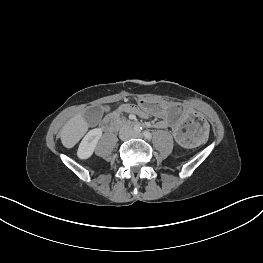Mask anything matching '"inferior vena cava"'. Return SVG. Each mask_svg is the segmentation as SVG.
<instances>
[{
  "label": "inferior vena cava",
  "instance_id": "1",
  "mask_svg": "<svg viewBox=\"0 0 263 263\" xmlns=\"http://www.w3.org/2000/svg\"><path fill=\"white\" fill-rule=\"evenodd\" d=\"M130 132H131V129H130V128H128V127L122 128V129L120 130V137H121V138H125V137H126L125 134H126V133H130Z\"/></svg>",
  "mask_w": 263,
  "mask_h": 263
}]
</instances>
